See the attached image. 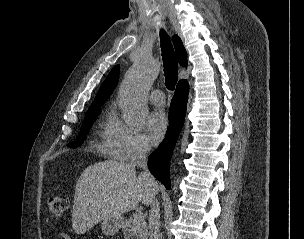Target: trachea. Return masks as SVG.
Wrapping results in <instances>:
<instances>
[{
  "label": "trachea",
  "mask_w": 304,
  "mask_h": 239,
  "mask_svg": "<svg viewBox=\"0 0 304 239\" xmlns=\"http://www.w3.org/2000/svg\"><path fill=\"white\" fill-rule=\"evenodd\" d=\"M160 42L164 64L165 85L167 89L174 90L178 80V62L168 34L161 30Z\"/></svg>",
  "instance_id": "1"
}]
</instances>
